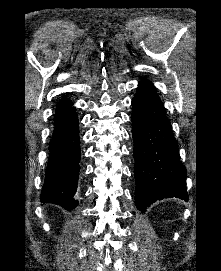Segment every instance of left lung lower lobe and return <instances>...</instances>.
I'll return each mask as SVG.
<instances>
[{
	"mask_svg": "<svg viewBox=\"0 0 221 271\" xmlns=\"http://www.w3.org/2000/svg\"><path fill=\"white\" fill-rule=\"evenodd\" d=\"M132 107L137 208L145 212L148 206L164 198L188 201L186 168L180 161L177 141L155 87L140 82Z\"/></svg>",
	"mask_w": 221,
	"mask_h": 271,
	"instance_id": "left-lung-lower-lobe-1",
	"label": "left lung lower lobe"
}]
</instances>
